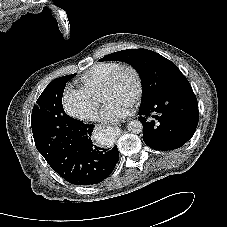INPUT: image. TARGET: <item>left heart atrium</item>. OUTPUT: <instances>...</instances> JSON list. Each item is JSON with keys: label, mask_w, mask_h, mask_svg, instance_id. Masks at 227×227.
Listing matches in <instances>:
<instances>
[{"label": "left heart atrium", "mask_w": 227, "mask_h": 227, "mask_svg": "<svg viewBox=\"0 0 227 227\" xmlns=\"http://www.w3.org/2000/svg\"><path fill=\"white\" fill-rule=\"evenodd\" d=\"M132 108V101L110 100L102 109L101 117L105 122H116L127 116Z\"/></svg>", "instance_id": "1"}]
</instances>
